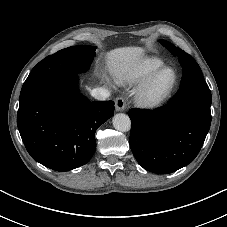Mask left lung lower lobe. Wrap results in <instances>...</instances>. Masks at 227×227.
Returning <instances> with one entry per match:
<instances>
[{"mask_svg": "<svg viewBox=\"0 0 227 227\" xmlns=\"http://www.w3.org/2000/svg\"><path fill=\"white\" fill-rule=\"evenodd\" d=\"M211 103L170 101L155 110H129L130 147L146 170L168 174L198 155L211 124Z\"/></svg>", "mask_w": 227, "mask_h": 227, "instance_id": "0a47b994", "label": "left lung lower lobe"}]
</instances>
